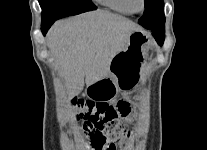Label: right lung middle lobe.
Here are the masks:
<instances>
[{"instance_id": "obj_1", "label": "right lung middle lobe", "mask_w": 207, "mask_h": 150, "mask_svg": "<svg viewBox=\"0 0 207 150\" xmlns=\"http://www.w3.org/2000/svg\"><path fill=\"white\" fill-rule=\"evenodd\" d=\"M39 3L42 8V22L56 21L96 9L90 0H39Z\"/></svg>"}]
</instances>
